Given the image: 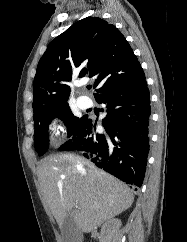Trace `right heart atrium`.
<instances>
[{
	"label": "right heart atrium",
	"mask_w": 187,
	"mask_h": 242,
	"mask_svg": "<svg viewBox=\"0 0 187 242\" xmlns=\"http://www.w3.org/2000/svg\"><path fill=\"white\" fill-rule=\"evenodd\" d=\"M51 130H52L53 135H55V136H59L60 133L62 132V128L56 124L51 127Z\"/></svg>",
	"instance_id": "d8ad5b80"
}]
</instances>
